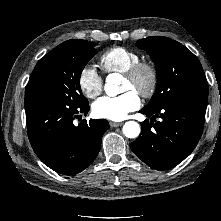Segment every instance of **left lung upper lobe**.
Wrapping results in <instances>:
<instances>
[{"label":"left lung upper lobe","instance_id":"1","mask_svg":"<svg viewBox=\"0 0 221 221\" xmlns=\"http://www.w3.org/2000/svg\"><path fill=\"white\" fill-rule=\"evenodd\" d=\"M136 46L150 55L157 71L156 91L144 109H157L182 95L208 96L203 68L185 46L163 36L140 39Z\"/></svg>","mask_w":221,"mask_h":221}]
</instances>
